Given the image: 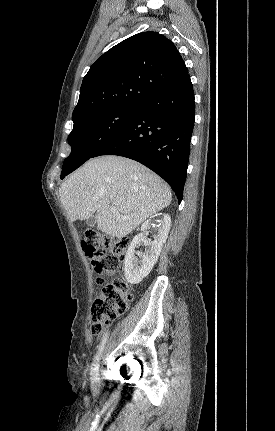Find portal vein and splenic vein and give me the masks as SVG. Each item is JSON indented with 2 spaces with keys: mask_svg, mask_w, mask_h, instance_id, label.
Returning a JSON list of instances; mask_svg holds the SVG:
<instances>
[{
  "mask_svg": "<svg viewBox=\"0 0 275 431\" xmlns=\"http://www.w3.org/2000/svg\"><path fill=\"white\" fill-rule=\"evenodd\" d=\"M110 210H111L113 213H116V212H117V209H116V207H114V206H111V207H110Z\"/></svg>",
  "mask_w": 275,
  "mask_h": 431,
  "instance_id": "18ae733b",
  "label": "portal vein and splenic vein"
}]
</instances>
